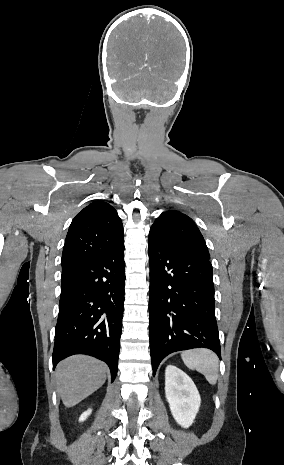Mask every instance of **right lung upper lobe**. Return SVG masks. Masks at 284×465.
Returning a JSON list of instances; mask_svg holds the SVG:
<instances>
[{"instance_id": "obj_1", "label": "right lung upper lobe", "mask_w": 284, "mask_h": 465, "mask_svg": "<svg viewBox=\"0 0 284 465\" xmlns=\"http://www.w3.org/2000/svg\"><path fill=\"white\" fill-rule=\"evenodd\" d=\"M123 225L116 210L108 203L95 201L73 219L62 253L63 272L110 252L124 241Z\"/></svg>"}]
</instances>
